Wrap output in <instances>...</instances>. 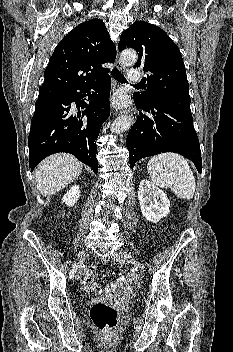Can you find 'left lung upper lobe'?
Segmentation results:
<instances>
[{
  "instance_id": "obj_1",
  "label": "left lung upper lobe",
  "mask_w": 233,
  "mask_h": 352,
  "mask_svg": "<svg viewBox=\"0 0 233 352\" xmlns=\"http://www.w3.org/2000/svg\"><path fill=\"white\" fill-rule=\"evenodd\" d=\"M131 47L138 52L134 65L146 72L144 92L134 99L145 104L161 102L191 113L189 85L183 59L177 45L158 26L137 21L121 34L118 49Z\"/></svg>"
}]
</instances>
